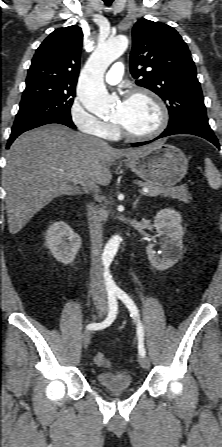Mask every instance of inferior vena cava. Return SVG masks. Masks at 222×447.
I'll list each match as a JSON object with an SVG mask.
<instances>
[{
	"label": "inferior vena cava",
	"mask_w": 222,
	"mask_h": 447,
	"mask_svg": "<svg viewBox=\"0 0 222 447\" xmlns=\"http://www.w3.org/2000/svg\"><path fill=\"white\" fill-rule=\"evenodd\" d=\"M91 238V293L95 298L105 299V290L102 277V246L103 230L102 223L96 214H91L88 219Z\"/></svg>",
	"instance_id": "602c4592"
}]
</instances>
